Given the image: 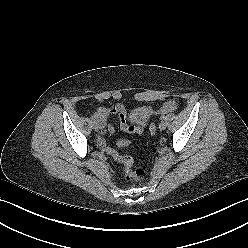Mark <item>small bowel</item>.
I'll return each mask as SVG.
<instances>
[{"mask_svg": "<svg viewBox=\"0 0 248 248\" xmlns=\"http://www.w3.org/2000/svg\"><path fill=\"white\" fill-rule=\"evenodd\" d=\"M175 108H176L175 103L173 101H169L162 106L160 112L162 113L171 112L175 110ZM139 111H141L144 116L137 123H130L128 122L126 110L123 107V105L111 104L107 107L98 108V110L95 113V117L101 128V133L97 140L99 147L103 149L106 146V142L103 137V134L106 131L109 133L114 132V126L111 124H107V118L111 114H116V113L119 114L120 128L122 131L126 133H137V134L142 133L144 128L146 127L147 118L153 114H156L157 111L149 106L142 107L139 109Z\"/></svg>", "mask_w": 248, "mask_h": 248, "instance_id": "c3829d8e", "label": "small bowel"}]
</instances>
